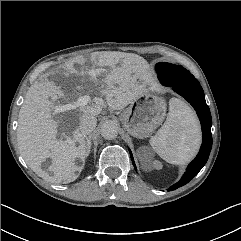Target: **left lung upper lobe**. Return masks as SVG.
<instances>
[{"label": "left lung upper lobe", "instance_id": "left-lung-upper-lobe-1", "mask_svg": "<svg viewBox=\"0 0 241 241\" xmlns=\"http://www.w3.org/2000/svg\"><path fill=\"white\" fill-rule=\"evenodd\" d=\"M155 69L159 77L173 85L197 81L188 70L178 65L162 62Z\"/></svg>", "mask_w": 241, "mask_h": 241}]
</instances>
